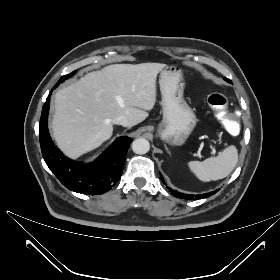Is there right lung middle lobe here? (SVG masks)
<instances>
[{
	"instance_id": "1",
	"label": "right lung middle lobe",
	"mask_w": 280,
	"mask_h": 280,
	"mask_svg": "<svg viewBox=\"0 0 280 280\" xmlns=\"http://www.w3.org/2000/svg\"><path fill=\"white\" fill-rule=\"evenodd\" d=\"M74 74H75V71H73L72 73H70V74H68V75L62 76L55 86H58L60 82L65 81V79H67V78L73 76Z\"/></svg>"
}]
</instances>
